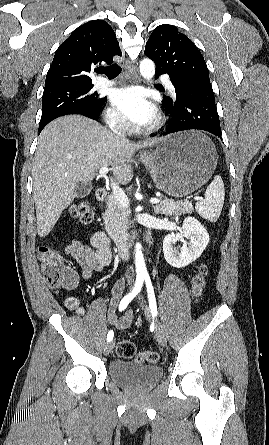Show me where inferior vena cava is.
Listing matches in <instances>:
<instances>
[{"instance_id": "obj_1", "label": "inferior vena cava", "mask_w": 269, "mask_h": 445, "mask_svg": "<svg viewBox=\"0 0 269 445\" xmlns=\"http://www.w3.org/2000/svg\"><path fill=\"white\" fill-rule=\"evenodd\" d=\"M115 127H116V130H117L119 138L121 140H123V141H127V139H126V130H127V128H126V124H125L124 118L118 117L116 119ZM128 273H129V270H127L126 277L128 279H130V275Z\"/></svg>"}]
</instances>
